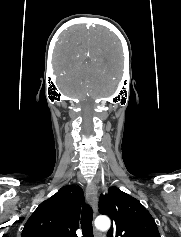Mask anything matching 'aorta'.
<instances>
[{
    "mask_svg": "<svg viewBox=\"0 0 181 237\" xmlns=\"http://www.w3.org/2000/svg\"><path fill=\"white\" fill-rule=\"evenodd\" d=\"M110 219L107 216H98L95 219V226L97 229L105 231L110 228Z\"/></svg>",
    "mask_w": 181,
    "mask_h": 237,
    "instance_id": "aorta-1",
    "label": "aorta"
}]
</instances>
